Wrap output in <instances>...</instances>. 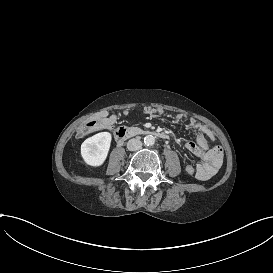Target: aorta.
Masks as SVG:
<instances>
[{
    "label": "aorta",
    "mask_w": 273,
    "mask_h": 273,
    "mask_svg": "<svg viewBox=\"0 0 273 273\" xmlns=\"http://www.w3.org/2000/svg\"><path fill=\"white\" fill-rule=\"evenodd\" d=\"M144 143L147 145V146H152L154 145L155 143V137L153 135H146L144 137Z\"/></svg>",
    "instance_id": "obj_1"
}]
</instances>
